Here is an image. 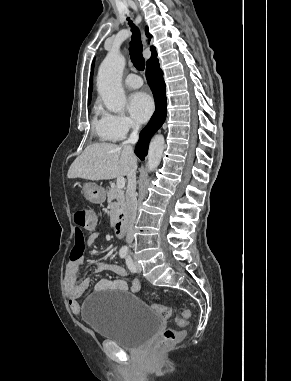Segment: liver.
Listing matches in <instances>:
<instances>
[{"instance_id": "1", "label": "liver", "mask_w": 291, "mask_h": 381, "mask_svg": "<svg viewBox=\"0 0 291 381\" xmlns=\"http://www.w3.org/2000/svg\"><path fill=\"white\" fill-rule=\"evenodd\" d=\"M135 163L134 153L123 145L94 143L74 160L67 176L92 181L114 179L128 176Z\"/></svg>"}]
</instances>
